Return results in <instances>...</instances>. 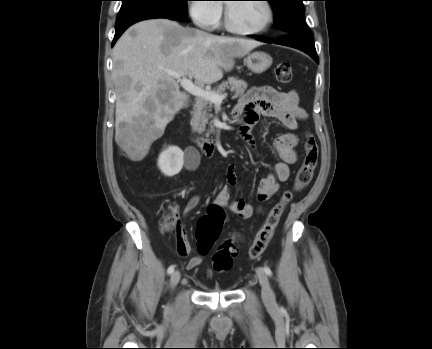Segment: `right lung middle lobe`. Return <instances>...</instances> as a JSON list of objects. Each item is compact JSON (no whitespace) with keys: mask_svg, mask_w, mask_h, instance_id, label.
Here are the masks:
<instances>
[{"mask_svg":"<svg viewBox=\"0 0 432 349\" xmlns=\"http://www.w3.org/2000/svg\"><path fill=\"white\" fill-rule=\"evenodd\" d=\"M118 19L146 11L160 12L176 18L184 19L188 15V0H121Z\"/></svg>","mask_w":432,"mask_h":349,"instance_id":"1","label":"right lung middle lobe"}]
</instances>
